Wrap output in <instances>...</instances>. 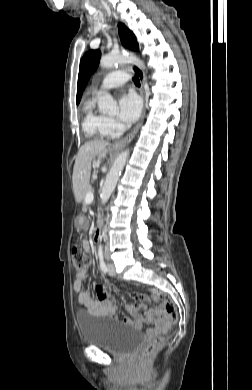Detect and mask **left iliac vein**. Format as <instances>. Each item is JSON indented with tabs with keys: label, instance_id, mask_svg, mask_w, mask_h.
Here are the masks:
<instances>
[{
	"label": "left iliac vein",
	"instance_id": "left-iliac-vein-1",
	"mask_svg": "<svg viewBox=\"0 0 252 390\" xmlns=\"http://www.w3.org/2000/svg\"><path fill=\"white\" fill-rule=\"evenodd\" d=\"M108 273L110 276H115L116 275V270L115 267L112 263L108 264Z\"/></svg>",
	"mask_w": 252,
	"mask_h": 390
}]
</instances>
